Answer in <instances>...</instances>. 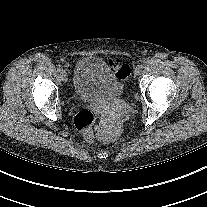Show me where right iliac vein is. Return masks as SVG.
<instances>
[{
	"label": "right iliac vein",
	"mask_w": 207,
	"mask_h": 207,
	"mask_svg": "<svg viewBox=\"0 0 207 207\" xmlns=\"http://www.w3.org/2000/svg\"><path fill=\"white\" fill-rule=\"evenodd\" d=\"M61 78L63 82H66L68 80V75L66 71H62Z\"/></svg>",
	"instance_id": "63e3f726"
}]
</instances>
